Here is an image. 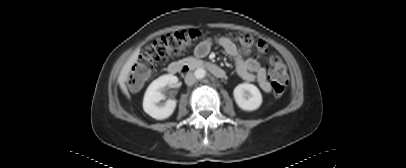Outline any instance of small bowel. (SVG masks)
<instances>
[{
	"instance_id": "obj_1",
	"label": "small bowel",
	"mask_w": 406,
	"mask_h": 168,
	"mask_svg": "<svg viewBox=\"0 0 406 168\" xmlns=\"http://www.w3.org/2000/svg\"><path fill=\"white\" fill-rule=\"evenodd\" d=\"M224 51L230 55L235 62L237 74L247 82L256 81L259 87L266 93L271 91V85L267 79L266 70L254 58H245L236 44L227 37H219L214 40ZM213 41L206 40L200 43L195 49L197 57H204L208 54Z\"/></svg>"
}]
</instances>
